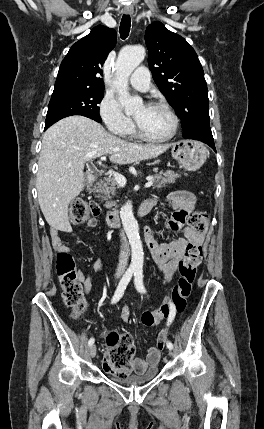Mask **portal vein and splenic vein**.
I'll use <instances>...</instances> for the list:
<instances>
[{
    "instance_id": "portal-vein-and-splenic-vein-1",
    "label": "portal vein and splenic vein",
    "mask_w": 264,
    "mask_h": 429,
    "mask_svg": "<svg viewBox=\"0 0 264 429\" xmlns=\"http://www.w3.org/2000/svg\"><path fill=\"white\" fill-rule=\"evenodd\" d=\"M105 159H106V157H104V156L101 157V160H105ZM112 174H113V177L115 178L116 182L120 186L123 187L126 185L127 180L122 174H120L118 172H113ZM152 185H153V181H152V179H149L148 182L145 184V187L148 188V187H151Z\"/></svg>"
}]
</instances>
